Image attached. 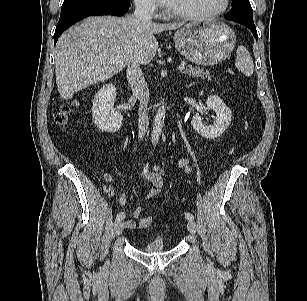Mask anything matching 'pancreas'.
I'll list each match as a JSON object with an SVG mask.
<instances>
[{
	"label": "pancreas",
	"instance_id": "1",
	"mask_svg": "<svg viewBox=\"0 0 307 301\" xmlns=\"http://www.w3.org/2000/svg\"><path fill=\"white\" fill-rule=\"evenodd\" d=\"M183 73L188 74L191 77H201V79L211 80L210 73L208 71H203V69H200L199 67H192L191 65H188Z\"/></svg>",
	"mask_w": 307,
	"mask_h": 301
}]
</instances>
